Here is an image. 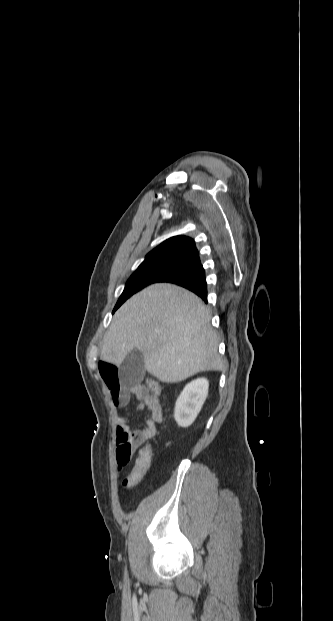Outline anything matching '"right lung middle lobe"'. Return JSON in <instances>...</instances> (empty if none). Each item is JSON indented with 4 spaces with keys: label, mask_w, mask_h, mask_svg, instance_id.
Returning a JSON list of instances; mask_svg holds the SVG:
<instances>
[{
    "label": "right lung middle lobe",
    "mask_w": 333,
    "mask_h": 621,
    "mask_svg": "<svg viewBox=\"0 0 333 621\" xmlns=\"http://www.w3.org/2000/svg\"><path fill=\"white\" fill-rule=\"evenodd\" d=\"M186 260L180 258H164L153 261H144L127 281L125 289L120 296L113 313L130 296L144 287L158 282L164 276L178 269Z\"/></svg>",
    "instance_id": "right-lung-middle-lobe-1"
}]
</instances>
